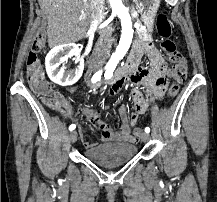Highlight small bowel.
Returning a JSON list of instances; mask_svg holds the SVG:
<instances>
[{
    "label": "small bowel",
    "instance_id": "small-bowel-1",
    "mask_svg": "<svg viewBox=\"0 0 217 202\" xmlns=\"http://www.w3.org/2000/svg\"><path fill=\"white\" fill-rule=\"evenodd\" d=\"M134 50L139 59L143 53H146L152 58V68H137L129 80L117 78L109 87L108 94L114 96L127 85H139L144 83L150 87L151 95H162L166 88L165 81L161 77L164 70L162 57L157 53L151 42L136 43L134 45ZM130 97L133 104V113L128 116V107L124 104L119 107L121 126L117 131L111 129L101 120L100 110L98 108L84 106L81 109L82 115L96 129L101 131V141L103 143L135 144L142 135L143 131H132L131 127L137 123L138 116L146 112L147 106H152V101H144L138 90H133ZM60 102H63L62 98ZM61 114L65 118H76L74 111L66 101H64V109ZM80 138L83 141L85 148L94 147L95 143L92 144L84 140L82 132H80Z\"/></svg>",
    "mask_w": 217,
    "mask_h": 202
}]
</instances>
